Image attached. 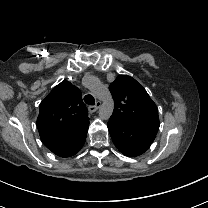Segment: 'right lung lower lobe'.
<instances>
[{
	"mask_svg": "<svg viewBox=\"0 0 208 208\" xmlns=\"http://www.w3.org/2000/svg\"><path fill=\"white\" fill-rule=\"evenodd\" d=\"M89 123L73 134L59 139H52L43 144L54 154L60 157H70L75 155L83 147L88 131Z\"/></svg>",
	"mask_w": 208,
	"mask_h": 208,
	"instance_id": "98d812e1",
	"label": "right lung lower lobe"
}]
</instances>
